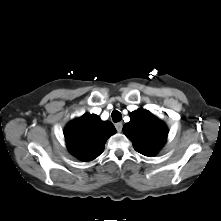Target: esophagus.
I'll use <instances>...</instances> for the list:
<instances>
[{
    "label": "esophagus",
    "mask_w": 221,
    "mask_h": 221,
    "mask_svg": "<svg viewBox=\"0 0 221 221\" xmlns=\"http://www.w3.org/2000/svg\"><path fill=\"white\" fill-rule=\"evenodd\" d=\"M115 128L118 132H121L122 131V128H123V124L122 122H118L115 124Z\"/></svg>",
    "instance_id": "obj_1"
}]
</instances>
